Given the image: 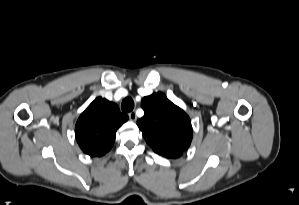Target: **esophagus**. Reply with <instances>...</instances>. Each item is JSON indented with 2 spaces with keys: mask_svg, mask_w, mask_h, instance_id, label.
Returning a JSON list of instances; mask_svg holds the SVG:
<instances>
[{
  "mask_svg": "<svg viewBox=\"0 0 299 205\" xmlns=\"http://www.w3.org/2000/svg\"><path fill=\"white\" fill-rule=\"evenodd\" d=\"M128 115H129V119L131 121H136L137 115H136L135 111L130 112Z\"/></svg>",
  "mask_w": 299,
  "mask_h": 205,
  "instance_id": "34e87169",
  "label": "esophagus"
}]
</instances>
